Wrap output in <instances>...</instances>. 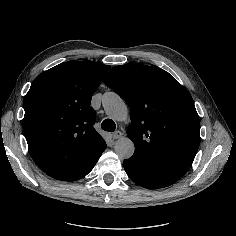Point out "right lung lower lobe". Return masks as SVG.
Listing matches in <instances>:
<instances>
[{"label":"right lung lower lobe","instance_id":"1","mask_svg":"<svg viewBox=\"0 0 236 236\" xmlns=\"http://www.w3.org/2000/svg\"><path fill=\"white\" fill-rule=\"evenodd\" d=\"M105 150V149H104ZM103 150V151H104ZM102 151V152H103ZM102 152L91 158L80 170L74 173L68 180L66 181H76L78 179L83 178L86 176L95 166L96 162L98 161L99 157L101 156Z\"/></svg>","mask_w":236,"mask_h":236}]
</instances>
